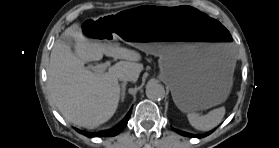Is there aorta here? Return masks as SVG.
<instances>
[{
	"mask_svg": "<svg viewBox=\"0 0 279 148\" xmlns=\"http://www.w3.org/2000/svg\"><path fill=\"white\" fill-rule=\"evenodd\" d=\"M146 96L153 101H160L165 97V89L157 83H148L146 86Z\"/></svg>",
	"mask_w": 279,
	"mask_h": 148,
	"instance_id": "aorta-1",
	"label": "aorta"
}]
</instances>
